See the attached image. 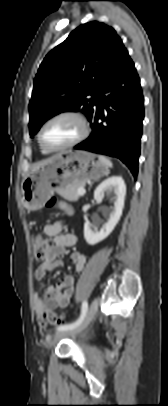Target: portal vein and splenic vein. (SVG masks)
<instances>
[{"mask_svg": "<svg viewBox=\"0 0 168 406\" xmlns=\"http://www.w3.org/2000/svg\"><path fill=\"white\" fill-rule=\"evenodd\" d=\"M85 189L84 188H81V189H78V191H77V196H83L84 194H85Z\"/></svg>", "mask_w": 168, "mask_h": 406, "instance_id": "18ae733b", "label": "portal vein and splenic vein"}]
</instances>
